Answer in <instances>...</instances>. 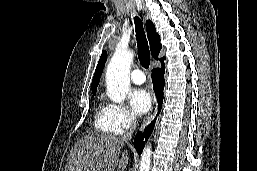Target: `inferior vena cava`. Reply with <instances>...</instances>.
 <instances>
[{"label":"inferior vena cava","mask_w":257,"mask_h":171,"mask_svg":"<svg viewBox=\"0 0 257 171\" xmlns=\"http://www.w3.org/2000/svg\"><path fill=\"white\" fill-rule=\"evenodd\" d=\"M136 126H137V118L135 116H132V127L130 129V132L128 133L129 136L133 133Z\"/></svg>","instance_id":"obj_1"}]
</instances>
